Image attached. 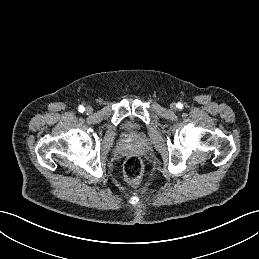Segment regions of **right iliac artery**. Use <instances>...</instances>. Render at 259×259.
Here are the masks:
<instances>
[{"mask_svg":"<svg viewBox=\"0 0 259 259\" xmlns=\"http://www.w3.org/2000/svg\"><path fill=\"white\" fill-rule=\"evenodd\" d=\"M84 110H85L84 106L80 105V106L78 107V111H79V112L83 113Z\"/></svg>","mask_w":259,"mask_h":259,"instance_id":"82829eb1","label":"right iliac artery"}]
</instances>
